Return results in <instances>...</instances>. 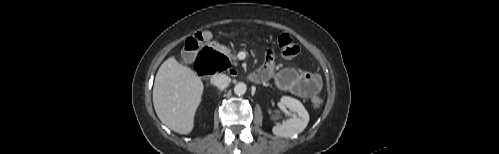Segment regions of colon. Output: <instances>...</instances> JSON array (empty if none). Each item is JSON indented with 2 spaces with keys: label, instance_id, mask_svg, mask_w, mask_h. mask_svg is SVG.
Returning a JSON list of instances; mask_svg holds the SVG:
<instances>
[{
  "label": "colon",
  "instance_id": "colon-1",
  "mask_svg": "<svg viewBox=\"0 0 499 154\" xmlns=\"http://www.w3.org/2000/svg\"><path fill=\"white\" fill-rule=\"evenodd\" d=\"M211 35L208 31H202L195 34L193 37L186 41L187 49L193 51L198 48L199 44L204 43L210 39ZM277 45L285 58L292 59L295 58L299 52L300 48L294 39L288 34H280L277 38ZM229 67V62L225 56L219 53H215V68L216 71H224ZM311 104L313 107L318 108L322 104V99L319 96H314L311 99Z\"/></svg>",
  "mask_w": 499,
  "mask_h": 154
}]
</instances>
